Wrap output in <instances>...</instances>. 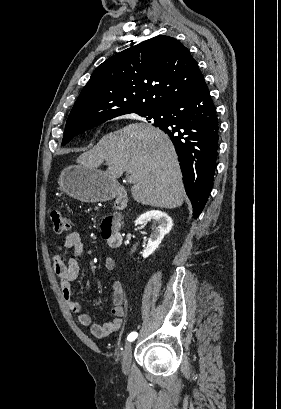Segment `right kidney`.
<instances>
[{
    "instance_id": "1",
    "label": "right kidney",
    "mask_w": 281,
    "mask_h": 409,
    "mask_svg": "<svg viewBox=\"0 0 281 409\" xmlns=\"http://www.w3.org/2000/svg\"><path fill=\"white\" fill-rule=\"evenodd\" d=\"M149 221H154L156 223L155 227H152V233L149 237L147 247H145L142 257L146 259L149 255H152L156 249H158L164 235L170 233L173 227V221L167 213H162V211H146L143 215H140L135 221V225H146Z\"/></svg>"
}]
</instances>
